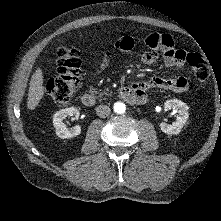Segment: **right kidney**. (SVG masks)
<instances>
[{
	"label": "right kidney",
	"mask_w": 221,
	"mask_h": 221,
	"mask_svg": "<svg viewBox=\"0 0 221 221\" xmlns=\"http://www.w3.org/2000/svg\"><path fill=\"white\" fill-rule=\"evenodd\" d=\"M67 116H74L75 118H78L79 111L74 107H70L57 111L53 116V126L55 127L56 135L61 139H70L81 133V127L79 125L71 129L66 127L63 120Z\"/></svg>",
	"instance_id": "1"
}]
</instances>
